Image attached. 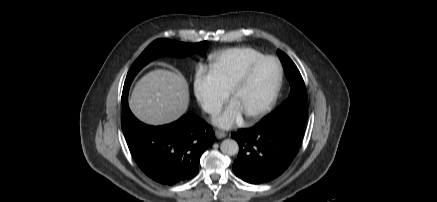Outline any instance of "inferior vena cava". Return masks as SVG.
Instances as JSON below:
<instances>
[{
    "label": "inferior vena cava",
    "mask_w": 437,
    "mask_h": 202,
    "mask_svg": "<svg viewBox=\"0 0 437 202\" xmlns=\"http://www.w3.org/2000/svg\"><path fill=\"white\" fill-rule=\"evenodd\" d=\"M209 112H212V111H214V108H209V110H208Z\"/></svg>",
    "instance_id": "obj_1"
}]
</instances>
